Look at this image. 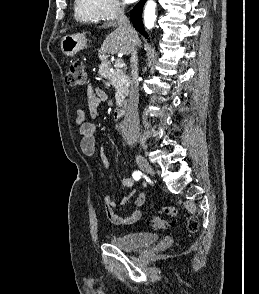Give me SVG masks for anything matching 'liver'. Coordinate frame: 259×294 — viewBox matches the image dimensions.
Wrapping results in <instances>:
<instances>
[{"mask_svg":"<svg viewBox=\"0 0 259 294\" xmlns=\"http://www.w3.org/2000/svg\"><path fill=\"white\" fill-rule=\"evenodd\" d=\"M109 27H115L116 29L113 32H111L104 40L101 46V52L108 54L121 53L124 55H128L129 38L127 34L122 29H120L117 23L115 22H107L104 23L102 26V28L105 29ZM132 39L135 47L140 44V40L136 31L134 32Z\"/></svg>","mask_w":259,"mask_h":294,"instance_id":"1","label":"liver"}]
</instances>
